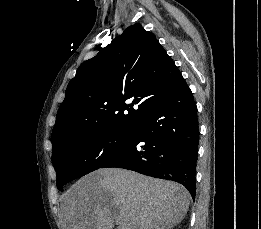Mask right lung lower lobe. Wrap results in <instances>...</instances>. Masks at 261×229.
<instances>
[{
	"instance_id": "1",
	"label": "right lung lower lobe",
	"mask_w": 261,
	"mask_h": 229,
	"mask_svg": "<svg viewBox=\"0 0 261 229\" xmlns=\"http://www.w3.org/2000/svg\"><path fill=\"white\" fill-rule=\"evenodd\" d=\"M197 106L185 80L137 127L129 147L101 168L117 167L182 184L196 194Z\"/></svg>"
}]
</instances>
